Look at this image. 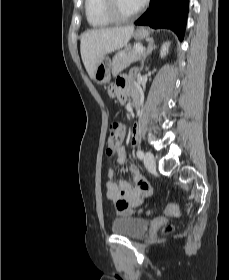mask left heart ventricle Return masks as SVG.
<instances>
[{
  "label": "left heart ventricle",
  "mask_w": 229,
  "mask_h": 280,
  "mask_svg": "<svg viewBox=\"0 0 229 280\" xmlns=\"http://www.w3.org/2000/svg\"><path fill=\"white\" fill-rule=\"evenodd\" d=\"M118 7L123 14H131L138 9L134 0H117Z\"/></svg>",
  "instance_id": "left-heart-ventricle-1"
}]
</instances>
